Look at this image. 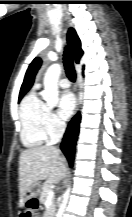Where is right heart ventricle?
Here are the masks:
<instances>
[{"label": "right heart ventricle", "instance_id": "1", "mask_svg": "<svg viewBox=\"0 0 132 217\" xmlns=\"http://www.w3.org/2000/svg\"><path fill=\"white\" fill-rule=\"evenodd\" d=\"M47 112V106L35 91L27 94L22 100L19 109L20 139L26 148H37L47 141Z\"/></svg>", "mask_w": 132, "mask_h": 217}]
</instances>
